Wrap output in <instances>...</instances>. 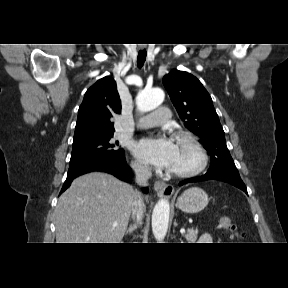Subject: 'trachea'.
I'll use <instances>...</instances> for the list:
<instances>
[{"label":"trachea","mask_w":288,"mask_h":288,"mask_svg":"<svg viewBox=\"0 0 288 288\" xmlns=\"http://www.w3.org/2000/svg\"><path fill=\"white\" fill-rule=\"evenodd\" d=\"M146 55H147L146 50L139 51L138 56H137V65L139 68H141L144 65V62L146 60Z\"/></svg>","instance_id":"trachea-1"}]
</instances>
